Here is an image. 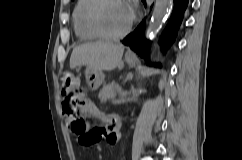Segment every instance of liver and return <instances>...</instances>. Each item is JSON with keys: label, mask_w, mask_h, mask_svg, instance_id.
I'll return each instance as SVG.
<instances>
[{"label": "liver", "mask_w": 242, "mask_h": 160, "mask_svg": "<svg viewBox=\"0 0 242 160\" xmlns=\"http://www.w3.org/2000/svg\"><path fill=\"white\" fill-rule=\"evenodd\" d=\"M124 52V46L98 41L75 47L70 57V68L85 65L87 70L112 71L117 68Z\"/></svg>", "instance_id": "6515ba94"}]
</instances>
